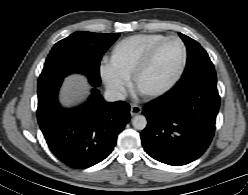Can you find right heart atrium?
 I'll list each match as a JSON object with an SVG mask.
<instances>
[{
  "mask_svg": "<svg viewBox=\"0 0 248 195\" xmlns=\"http://www.w3.org/2000/svg\"><path fill=\"white\" fill-rule=\"evenodd\" d=\"M102 80L105 86L114 92H124L127 87V78L117 73L111 64L101 70Z\"/></svg>",
  "mask_w": 248,
  "mask_h": 195,
  "instance_id": "d8ad5b80",
  "label": "right heart atrium"
}]
</instances>
